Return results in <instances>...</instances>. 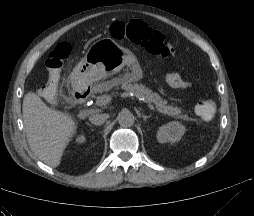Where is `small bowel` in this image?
Listing matches in <instances>:
<instances>
[{"label":"small bowel","mask_w":254,"mask_h":216,"mask_svg":"<svg viewBox=\"0 0 254 216\" xmlns=\"http://www.w3.org/2000/svg\"><path fill=\"white\" fill-rule=\"evenodd\" d=\"M168 52L169 54L174 55L176 54L177 49L176 47L171 46L169 47ZM165 80L173 90H184L188 87V82L175 72L168 73L165 77Z\"/></svg>","instance_id":"c3829d8e"}]
</instances>
